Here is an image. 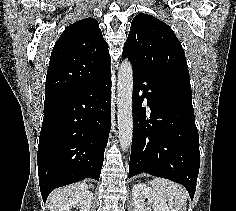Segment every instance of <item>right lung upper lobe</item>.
I'll return each mask as SVG.
<instances>
[{
  "mask_svg": "<svg viewBox=\"0 0 236 211\" xmlns=\"http://www.w3.org/2000/svg\"><path fill=\"white\" fill-rule=\"evenodd\" d=\"M111 58L97 20L86 18L68 26L51 53L45 94L81 87L111 71Z\"/></svg>",
  "mask_w": 236,
  "mask_h": 211,
  "instance_id": "1",
  "label": "right lung upper lobe"
}]
</instances>
